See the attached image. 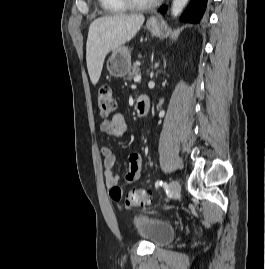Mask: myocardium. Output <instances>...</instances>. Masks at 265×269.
I'll return each mask as SVG.
<instances>
[{
	"mask_svg": "<svg viewBox=\"0 0 265 269\" xmlns=\"http://www.w3.org/2000/svg\"><path fill=\"white\" fill-rule=\"evenodd\" d=\"M128 8L131 9H146L156 5L161 0H121Z\"/></svg>",
	"mask_w": 265,
	"mask_h": 269,
	"instance_id": "1",
	"label": "myocardium"
}]
</instances>
